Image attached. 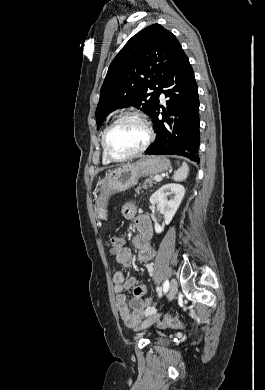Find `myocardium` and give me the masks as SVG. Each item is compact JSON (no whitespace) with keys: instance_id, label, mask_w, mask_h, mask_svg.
<instances>
[{"instance_id":"1","label":"myocardium","mask_w":265,"mask_h":390,"mask_svg":"<svg viewBox=\"0 0 265 390\" xmlns=\"http://www.w3.org/2000/svg\"><path fill=\"white\" fill-rule=\"evenodd\" d=\"M126 119H131V120H135L137 122H139L144 130H145V133H146V139L144 141V143L142 144V146L140 148H138L137 150L133 151L132 153L128 154V155H125V156H116L114 155L110 149H109V146H108V138H109V134L110 132L112 131V129L118 124L120 123L121 121L123 120H126ZM153 138H154V133H153V130L150 126V124L148 123L147 119L137 113V112H124L122 114H120L104 131V134H103V137H102V146H103V150H104V153L105 155L107 156V158L110 160V161H113V162H123V161H127V160H130L140 154H142L143 152L146 151V149L150 146V144L152 143L153 141Z\"/></svg>"}]
</instances>
